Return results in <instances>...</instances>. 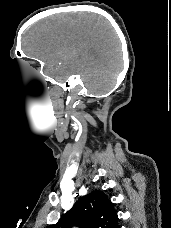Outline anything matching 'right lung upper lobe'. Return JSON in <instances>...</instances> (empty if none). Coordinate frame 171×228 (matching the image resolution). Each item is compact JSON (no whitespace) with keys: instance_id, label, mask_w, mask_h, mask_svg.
Instances as JSON below:
<instances>
[{"instance_id":"right-lung-upper-lobe-1","label":"right lung upper lobe","mask_w":171,"mask_h":228,"mask_svg":"<svg viewBox=\"0 0 171 228\" xmlns=\"http://www.w3.org/2000/svg\"><path fill=\"white\" fill-rule=\"evenodd\" d=\"M118 228V216L112 202L99 190L79 199L73 208L48 228Z\"/></svg>"}]
</instances>
